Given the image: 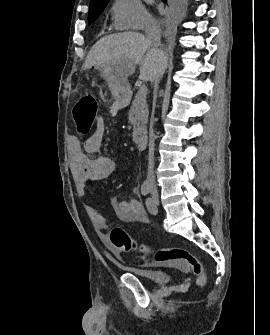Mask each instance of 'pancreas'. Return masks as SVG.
Here are the masks:
<instances>
[{
  "mask_svg": "<svg viewBox=\"0 0 270 335\" xmlns=\"http://www.w3.org/2000/svg\"><path fill=\"white\" fill-rule=\"evenodd\" d=\"M129 120L134 128L133 136H138V134L146 132L148 110H139L138 106H132L129 112Z\"/></svg>",
  "mask_w": 270,
  "mask_h": 335,
  "instance_id": "obj_1",
  "label": "pancreas"
}]
</instances>
